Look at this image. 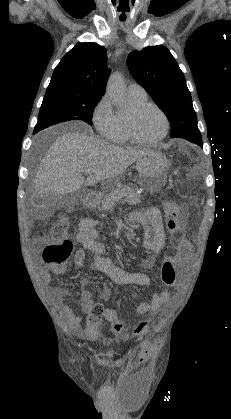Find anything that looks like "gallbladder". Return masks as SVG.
Listing matches in <instances>:
<instances>
[{
  "label": "gallbladder",
  "instance_id": "gallbladder-1",
  "mask_svg": "<svg viewBox=\"0 0 231 419\" xmlns=\"http://www.w3.org/2000/svg\"><path fill=\"white\" fill-rule=\"evenodd\" d=\"M71 196L72 195H64L61 197L59 195L49 193L43 196V198L39 202V205L46 207L47 211L50 212L52 210V207L67 205V201Z\"/></svg>",
  "mask_w": 231,
  "mask_h": 419
}]
</instances>
